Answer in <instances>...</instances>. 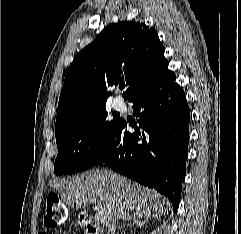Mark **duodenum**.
Here are the masks:
<instances>
[{"label": "duodenum", "mask_w": 241, "mask_h": 234, "mask_svg": "<svg viewBox=\"0 0 241 234\" xmlns=\"http://www.w3.org/2000/svg\"><path fill=\"white\" fill-rule=\"evenodd\" d=\"M79 223L85 229L87 234H102L100 227L95 224L86 213L79 215Z\"/></svg>", "instance_id": "duodenum-1"}]
</instances>
